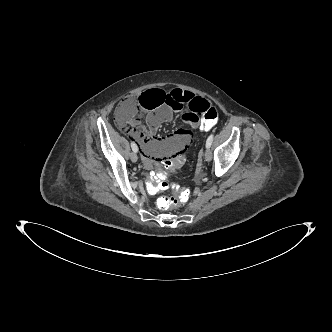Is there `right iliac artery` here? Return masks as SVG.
<instances>
[{
  "instance_id": "right-iliac-artery-1",
  "label": "right iliac artery",
  "mask_w": 332,
  "mask_h": 332,
  "mask_svg": "<svg viewBox=\"0 0 332 332\" xmlns=\"http://www.w3.org/2000/svg\"><path fill=\"white\" fill-rule=\"evenodd\" d=\"M131 148L134 152H137L138 151V147L137 145L135 144V142H131Z\"/></svg>"
}]
</instances>
